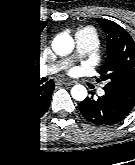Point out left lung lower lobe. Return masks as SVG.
<instances>
[{"label": "left lung lower lobe", "instance_id": "1", "mask_svg": "<svg viewBox=\"0 0 135 165\" xmlns=\"http://www.w3.org/2000/svg\"><path fill=\"white\" fill-rule=\"evenodd\" d=\"M97 100L86 98L79 104L83 116L97 124H114L122 121L134 106L124 101L119 95L105 91Z\"/></svg>", "mask_w": 135, "mask_h": 165}]
</instances>
